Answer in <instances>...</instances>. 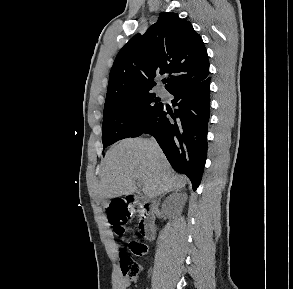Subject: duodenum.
Listing matches in <instances>:
<instances>
[{
    "mask_svg": "<svg viewBox=\"0 0 293 289\" xmlns=\"http://www.w3.org/2000/svg\"><path fill=\"white\" fill-rule=\"evenodd\" d=\"M128 202L136 207L140 213L139 231L146 239L153 240L155 236V206L150 202L139 201L133 194L128 196Z\"/></svg>",
    "mask_w": 293,
    "mask_h": 289,
    "instance_id": "obj_1",
    "label": "duodenum"
}]
</instances>
